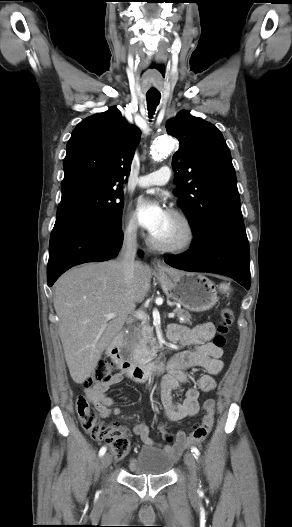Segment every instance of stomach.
<instances>
[{"label": "stomach", "instance_id": "obj_1", "mask_svg": "<svg viewBox=\"0 0 292 527\" xmlns=\"http://www.w3.org/2000/svg\"><path fill=\"white\" fill-rule=\"evenodd\" d=\"M159 281L168 297L190 311H207L218 301L215 284L203 274L166 268Z\"/></svg>", "mask_w": 292, "mask_h": 527}]
</instances>
